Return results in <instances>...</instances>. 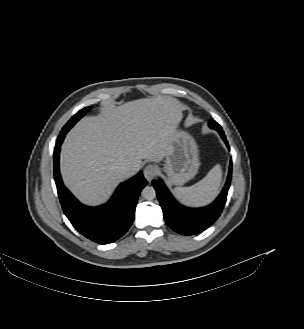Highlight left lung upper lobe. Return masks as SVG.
<instances>
[{
	"label": "left lung upper lobe",
	"mask_w": 304,
	"mask_h": 329,
	"mask_svg": "<svg viewBox=\"0 0 304 329\" xmlns=\"http://www.w3.org/2000/svg\"><path fill=\"white\" fill-rule=\"evenodd\" d=\"M214 120H210L209 124L212 123Z\"/></svg>",
	"instance_id": "obj_1"
}]
</instances>
